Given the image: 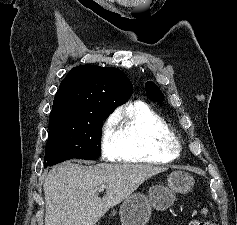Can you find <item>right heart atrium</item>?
Listing matches in <instances>:
<instances>
[{"label":"right heart atrium","instance_id":"d8ad5b80","mask_svg":"<svg viewBox=\"0 0 237 225\" xmlns=\"http://www.w3.org/2000/svg\"><path fill=\"white\" fill-rule=\"evenodd\" d=\"M116 121V116H110L104 121L101 128L100 147L102 156L107 160H114L118 150Z\"/></svg>","mask_w":237,"mask_h":225}]
</instances>
